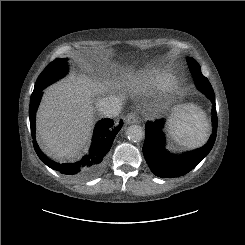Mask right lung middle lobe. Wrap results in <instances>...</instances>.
<instances>
[{"instance_id":"right-lung-middle-lobe-1","label":"right lung middle lobe","mask_w":245,"mask_h":245,"mask_svg":"<svg viewBox=\"0 0 245 245\" xmlns=\"http://www.w3.org/2000/svg\"><path fill=\"white\" fill-rule=\"evenodd\" d=\"M67 61H68L67 58L65 59L58 58L52 63H50L38 77L33 92L37 90H42L48 85L57 81L58 79L64 77L69 70Z\"/></svg>"}]
</instances>
